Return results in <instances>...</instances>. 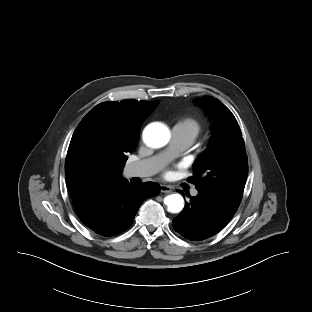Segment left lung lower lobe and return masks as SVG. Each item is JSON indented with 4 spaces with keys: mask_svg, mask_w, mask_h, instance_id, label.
Segmentation results:
<instances>
[{
    "mask_svg": "<svg viewBox=\"0 0 312 312\" xmlns=\"http://www.w3.org/2000/svg\"><path fill=\"white\" fill-rule=\"evenodd\" d=\"M183 195V191H179ZM185 203L183 211L172 220L173 227L183 237L199 241L222 230L234 216L238 207L223 197L205 191Z\"/></svg>",
    "mask_w": 312,
    "mask_h": 312,
    "instance_id": "obj_1",
    "label": "left lung lower lobe"
}]
</instances>
